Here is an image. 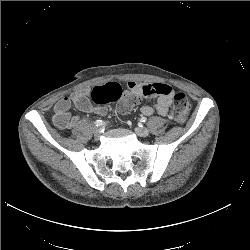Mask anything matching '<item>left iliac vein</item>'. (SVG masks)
Listing matches in <instances>:
<instances>
[{"label": "left iliac vein", "instance_id": "1", "mask_svg": "<svg viewBox=\"0 0 250 250\" xmlns=\"http://www.w3.org/2000/svg\"><path fill=\"white\" fill-rule=\"evenodd\" d=\"M135 132L141 137H147L149 135V130L143 127H136Z\"/></svg>", "mask_w": 250, "mask_h": 250}]
</instances>
